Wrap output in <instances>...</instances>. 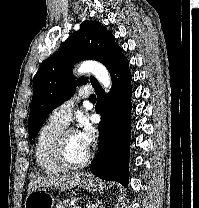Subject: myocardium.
Instances as JSON below:
<instances>
[{"instance_id":"1","label":"myocardium","mask_w":199,"mask_h":208,"mask_svg":"<svg viewBox=\"0 0 199 208\" xmlns=\"http://www.w3.org/2000/svg\"><path fill=\"white\" fill-rule=\"evenodd\" d=\"M74 132L75 130L73 128H65L57 136L53 145V150H52L53 160L63 170L81 169L89 163V161L91 160L93 156L92 150H89L87 156L83 160L77 163H72L68 160L66 156V142H67L68 136Z\"/></svg>"}]
</instances>
